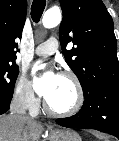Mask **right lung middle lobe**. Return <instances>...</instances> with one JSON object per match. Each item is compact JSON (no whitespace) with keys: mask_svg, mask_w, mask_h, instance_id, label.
Returning <instances> with one entry per match:
<instances>
[{"mask_svg":"<svg viewBox=\"0 0 119 141\" xmlns=\"http://www.w3.org/2000/svg\"><path fill=\"white\" fill-rule=\"evenodd\" d=\"M18 73L15 62L0 61V96L12 98Z\"/></svg>","mask_w":119,"mask_h":141,"instance_id":"right-lung-middle-lobe-1","label":"right lung middle lobe"}]
</instances>
